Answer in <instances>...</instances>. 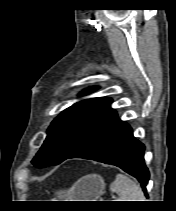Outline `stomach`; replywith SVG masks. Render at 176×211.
Wrapping results in <instances>:
<instances>
[{
    "mask_svg": "<svg viewBox=\"0 0 176 211\" xmlns=\"http://www.w3.org/2000/svg\"><path fill=\"white\" fill-rule=\"evenodd\" d=\"M105 183L97 174H89L78 180L69 191L75 201H98L104 192Z\"/></svg>",
    "mask_w": 176,
    "mask_h": 211,
    "instance_id": "stomach-1",
    "label": "stomach"
}]
</instances>
